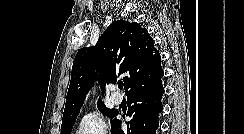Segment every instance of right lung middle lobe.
<instances>
[{"label":"right lung middle lobe","mask_w":244,"mask_h":134,"mask_svg":"<svg viewBox=\"0 0 244 134\" xmlns=\"http://www.w3.org/2000/svg\"><path fill=\"white\" fill-rule=\"evenodd\" d=\"M98 109L103 113L108 115L109 117H115L117 115V110L108 109L103 103L98 105ZM78 115L71 116L68 118H63L62 126H61V134H70L72 127L76 121Z\"/></svg>","instance_id":"obj_1"}]
</instances>
